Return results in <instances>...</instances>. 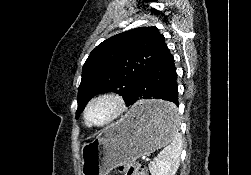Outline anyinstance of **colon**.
I'll return each instance as SVG.
<instances>
[{
  "mask_svg": "<svg viewBox=\"0 0 251 175\" xmlns=\"http://www.w3.org/2000/svg\"><path fill=\"white\" fill-rule=\"evenodd\" d=\"M118 170L122 175H148L145 166L137 160L121 164Z\"/></svg>",
  "mask_w": 251,
  "mask_h": 175,
  "instance_id": "1",
  "label": "colon"
}]
</instances>
